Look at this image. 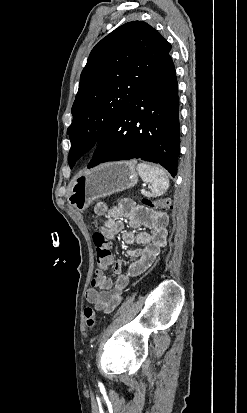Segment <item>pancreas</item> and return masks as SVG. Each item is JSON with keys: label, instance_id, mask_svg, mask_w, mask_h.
Wrapping results in <instances>:
<instances>
[{"label": "pancreas", "instance_id": "cf45deb5", "mask_svg": "<svg viewBox=\"0 0 247 413\" xmlns=\"http://www.w3.org/2000/svg\"><path fill=\"white\" fill-rule=\"evenodd\" d=\"M142 194H145V196H153V194H151V192H142Z\"/></svg>", "mask_w": 247, "mask_h": 413}]
</instances>
